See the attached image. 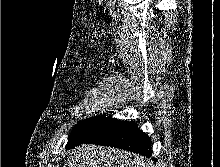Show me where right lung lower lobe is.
<instances>
[{
    "label": "right lung lower lobe",
    "mask_w": 220,
    "mask_h": 167,
    "mask_svg": "<svg viewBox=\"0 0 220 167\" xmlns=\"http://www.w3.org/2000/svg\"><path fill=\"white\" fill-rule=\"evenodd\" d=\"M83 143L115 147L146 157L152 154L151 139L136 123L112 117L105 118Z\"/></svg>",
    "instance_id": "obj_1"
}]
</instances>
